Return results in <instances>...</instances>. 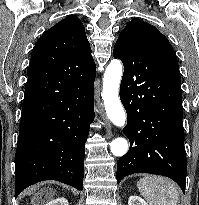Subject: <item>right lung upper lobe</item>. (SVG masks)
<instances>
[{
	"label": "right lung upper lobe",
	"mask_w": 199,
	"mask_h": 205,
	"mask_svg": "<svg viewBox=\"0 0 199 205\" xmlns=\"http://www.w3.org/2000/svg\"><path fill=\"white\" fill-rule=\"evenodd\" d=\"M96 75V66L85 28L77 16H68L48 29L35 44L27 84L44 88L25 94L22 115L69 91L75 81Z\"/></svg>",
	"instance_id": "cb5924a9"
}]
</instances>
